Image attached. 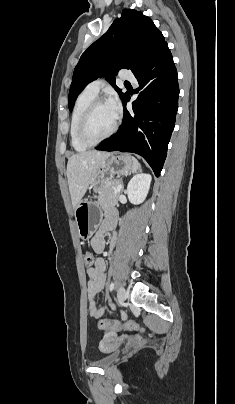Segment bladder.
<instances>
[{
	"label": "bladder",
	"instance_id": "1",
	"mask_svg": "<svg viewBox=\"0 0 235 404\" xmlns=\"http://www.w3.org/2000/svg\"><path fill=\"white\" fill-rule=\"evenodd\" d=\"M112 352L109 354H106L104 356H102L100 359H98L95 364L99 367L102 368H108L111 365L114 364V362L117 360L118 358V354L116 353V351L111 350Z\"/></svg>",
	"mask_w": 235,
	"mask_h": 404
}]
</instances>
